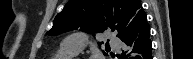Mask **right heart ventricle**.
Here are the masks:
<instances>
[{
    "label": "right heart ventricle",
    "instance_id": "obj_1",
    "mask_svg": "<svg viewBox=\"0 0 193 59\" xmlns=\"http://www.w3.org/2000/svg\"><path fill=\"white\" fill-rule=\"evenodd\" d=\"M77 53L60 48L51 59H72Z\"/></svg>",
    "mask_w": 193,
    "mask_h": 59
}]
</instances>
